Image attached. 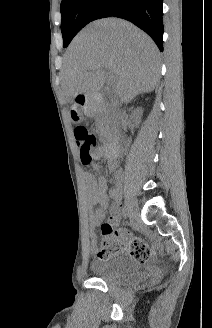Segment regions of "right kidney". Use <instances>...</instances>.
I'll list each match as a JSON object with an SVG mask.
<instances>
[{"instance_id": "1", "label": "right kidney", "mask_w": 212, "mask_h": 328, "mask_svg": "<svg viewBox=\"0 0 212 328\" xmlns=\"http://www.w3.org/2000/svg\"><path fill=\"white\" fill-rule=\"evenodd\" d=\"M143 110L141 107H137L131 114V119L135 125H139Z\"/></svg>"}]
</instances>
